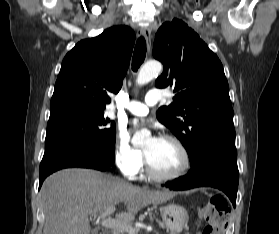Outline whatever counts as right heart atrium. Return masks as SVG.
<instances>
[{
    "label": "right heart atrium",
    "mask_w": 279,
    "mask_h": 234,
    "mask_svg": "<svg viewBox=\"0 0 279 234\" xmlns=\"http://www.w3.org/2000/svg\"><path fill=\"white\" fill-rule=\"evenodd\" d=\"M113 156L117 167L126 177L137 174L144 162L143 152L131 144L124 132H118L115 137Z\"/></svg>",
    "instance_id": "obj_1"
}]
</instances>
